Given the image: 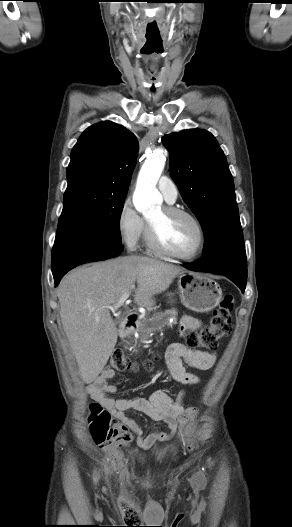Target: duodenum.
Segmentation results:
<instances>
[{
    "label": "duodenum",
    "instance_id": "1",
    "mask_svg": "<svg viewBox=\"0 0 292 527\" xmlns=\"http://www.w3.org/2000/svg\"><path fill=\"white\" fill-rule=\"evenodd\" d=\"M138 316L136 314L129 315L120 325V336L126 337L131 334L137 327Z\"/></svg>",
    "mask_w": 292,
    "mask_h": 527
}]
</instances>
